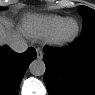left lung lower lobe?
Instances as JSON below:
<instances>
[{
  "label": "left lung lower lobe",
  "mask_w": 95,
  "mask_h": 95,
  "mask_svg": "<svg viewBox=\"0 0 95 95\" xmlns=\"http://www.w3.org/2000/svg\"><path fill=\"white\" fill-rule=\"evenodd\" d=\"M44 81L50 95H95V31L67 50L44 49Z\"/></svg>",
  "instance_id": "1"
}]
</instances>
